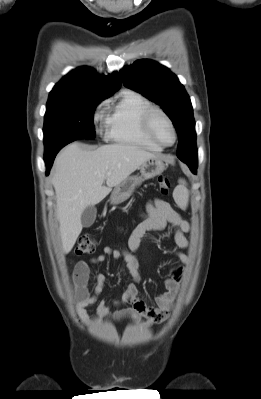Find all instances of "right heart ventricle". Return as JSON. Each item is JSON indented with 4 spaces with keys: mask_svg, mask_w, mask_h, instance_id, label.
<instances>
[{
    "mask_svg": "<svg viewBox=\"0 0 261 399\" xmlns=\"http://www.w3.org/2000/svg\"><path fill=\"white\" fill-rule=\"evenodd\" d=\"M151 106L142 94L123 91L106 115V137L113 142L161 151L162 148L153 143L142 129V115Z\"/></svg>",
    "mask_w": 261,
    "mask_h": 399,
    "instance_id": "1",
    "label": "right heart ventricle"
}]
</instances>
